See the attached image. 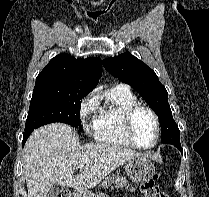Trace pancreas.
<instances>
[{
	"instance_id": "1",
	"label": "pancreas",
	"mask_w": 209,
	"mask_h": 197,
	"mask_svg": "<svg viewBox=\"0 0 209 197\" xmlns=\"http://www.w3.org/2000/svg\"><path fill=\"white\" fill-rule=\"evenodd\" d=\"M112 184H115V188H124L131 192L135 191V188L133 186H130L129 181L125 176L112 174L111 176L105 178L101 183L102 186L106 187L111 186Z\"/></svg>"
}]
</instances>
